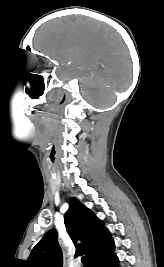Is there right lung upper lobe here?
I'll use <instances>...</instances> for the list:
<instances>
[{"label": "right lung upper lobe", "mask_w": 164, "mask_h": 267, "mask_svg": "<svg viewBox=\"0 0 164 267\" xmlns=\"http://www.w3.org/2000/svg\"><path fill=\"white\" fill-rule=\"evenodd\" d=\"M64 222L69 236L76 245V253L85 254L88 263L115 246L104 223L75 197L70 199ZM77 240H81L82 243L76 244ZM27 262L30 267H62V252L56 230L47 232L35 245Z\"/></svg>", "instance_id": "right-lung-upper-lobe-1"}]
</instances>
